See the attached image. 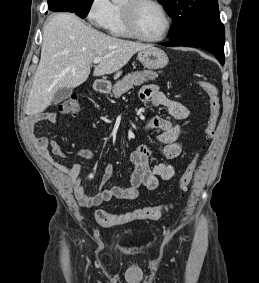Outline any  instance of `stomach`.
Returning a JSON list of instances; mask_svg holds the SVG:
<instances>
[{"label":"stomach","mask_w":259,"mask_h":283,"mask_svg":"<svg viewBox=\"0 0 259 283\" xmlns=\"http://www.w3.org/2000/svg\"><path fill=\"white\" fill-rule=\"evenodd\" d=\"M138 60L148 69H160L168 64V56L157 47L149 46L140 50L137 55Z\"/></svg>","instance_id":"stomach-1"}]
</instances>
